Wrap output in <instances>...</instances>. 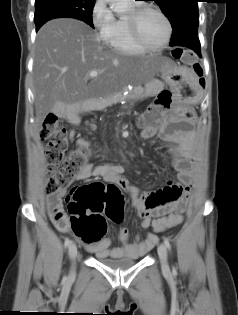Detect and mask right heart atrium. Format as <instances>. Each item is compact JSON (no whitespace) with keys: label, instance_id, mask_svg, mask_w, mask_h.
Instances as JSON below:
<instances>
[{"label":"right heart atrium","instance_id":"right-heart-atrium-1","mask_svg":"<svg viewBox=\"0 0 238 315\" xmlns=\"http://www.w3.org/2000/svg\"><path fill=\"white\" fill-rule=\"evenodd\" d=\"M91 23L100 37L104 38L115 20L106 0H95L90 13Z\"/></svg>","mask_w":238,"mask_h":315}]
</instances>
